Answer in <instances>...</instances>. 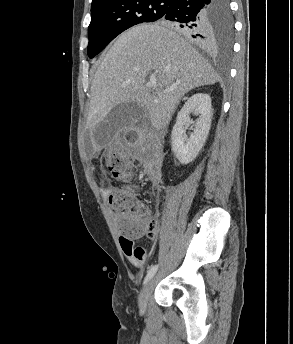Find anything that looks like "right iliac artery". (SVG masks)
Wrapping results in <instances>:
<instances>
[{"label": "right iliac artery", "instance_id": "right-iliac-artery-1", "mask_svg": "<svg viewBox=\"0 0 293 344\" xmlns=\"http://www.w3.org/2000/svg\"><path fill=\"white\" fill-rule=\"evenodd\" d=\"M157 269H158V265H154L148 270L147 275L144 279V284L147 283L154 276Z\"/></svg>", "mask_w": 293, "mask_h": 344}]
</instances>
